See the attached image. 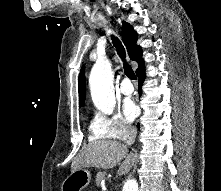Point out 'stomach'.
I'll list each match as a JSON object with an SVG mask.
<instances>
[{"label": "stomach", "mask_w": 221, "mask_h": 191, "mask_svg": "<svg viewBox=\"0 0 221 191\" xmlns=\"http://www.w3.org/2000/svg\"><path fill=\"white\" fill-rule=\"evenodd\" d=\"M91 181V174L87 169L81 168L72 171L62 182L61 191H82Z\"/></svg>", "instance_id": "1"}]
</instances>
